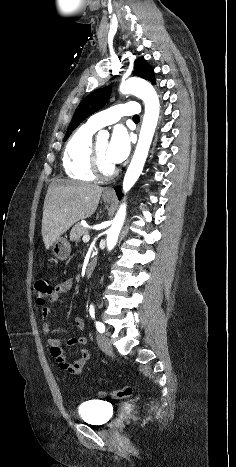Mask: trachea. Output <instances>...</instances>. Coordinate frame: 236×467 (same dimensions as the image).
<instances>
[{"mask_svg":"<svg viewBox=\"0 0 236 467\" xmlns=\"http://www.w3.org/2000/svg\"><path fill=\"white\" fill-rule=\"evenodd\" d=\"M133 120H134V121H139V120H140V117H139V115H135V116H133Z\"/></svg>","mask_w":236,"mask_h":467,"instance_id":"3493384b","label":"trachea"}]
</instances>
